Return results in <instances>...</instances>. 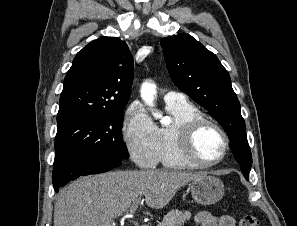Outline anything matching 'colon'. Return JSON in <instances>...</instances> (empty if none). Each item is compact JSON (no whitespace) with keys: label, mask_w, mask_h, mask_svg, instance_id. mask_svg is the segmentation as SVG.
<instances>
[{"label":"colon","mask_w":297,"mask_h":226,"mask_svg":"<svg viewBox=\"0 0 297 226\" xmlns=\"http://www.w3.org/2000/svg\"><path fill=\"white\" fill-rule=\"evenodd\" d=\"M258 221L255 216L250 214L242 215L240 218L239 226H257Z\"/></svg>","instance_id":"obj_1"}]
</instances>
